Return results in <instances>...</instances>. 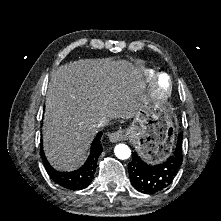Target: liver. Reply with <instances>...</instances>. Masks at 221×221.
<instances>
[{
    "instance_id": "1",
    "label": "liver",
    "mask_w": 221,
    "mask_h": 221,
    "mask_svg": "<svg viewBox=\"0 0 221 221\" xmlns=\"http://www.w3.org/2000/svg\"><path fill=\"white\" fill-rule=\"evenodd\" d=\"M143 88L141 68L126 60L80 59L59 66L50 78L44 114L50 164L60 171L80 167L98 121L134 117Z\"/></svg>"
}]
</instances>
